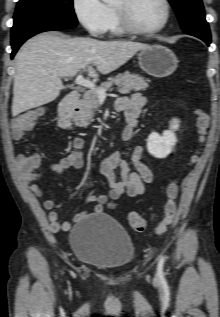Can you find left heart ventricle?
<instances>
[{"mask_svg": "<svg viewBox=\"0 0 220 317\" xmlns=\"http://www.w3.org/2000/svg\"><path fill=\"white\" fill-rule=\"evenodd\" d=\"M113 6L125 7L133 25L142 30L157 27L165 16L161 0H132L129 4L115 0Z\"/></svg>", "mask_w": 220, "mask_h": 317, "instance_id": "1", "label": "left heart ventricle"}]
</instances>
